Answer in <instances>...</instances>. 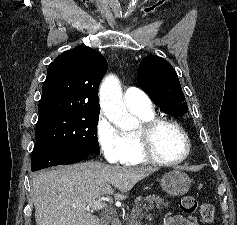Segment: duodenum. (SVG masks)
I'll return each instance as SVG.
<instances>
[{
  "label": "duodenum",
  "mask_w": 237,
  "mask_h": 225,
  "mask_svg": "<svg viewBox=\"0 0 237 225\" xmlns=\"http://www.w3.org/2000/svg\"><path fill=\"white\" fill-rule=\"evenodd\" d=\"M110 225H120V222L118 220H113Z\"/></svg>",
  "instance_id": "410a0bca"
}]
</instances>
